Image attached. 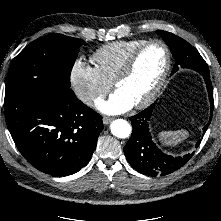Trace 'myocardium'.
<instances>
[{
  "instance_id": "f54148a6",
  "label": "myocardium",
  "mask_w": 221,
  "mask_h": 221,
  "mask_svg": "<svg viewBox=\"0 0 221 221\" xmlns=\"http://www.w3.org/2000/svg\"><path fill=\"white\" fill-rule=\"evenodd\" d=\"M154 44H158V45L162 46V48L164 49L165 55H166L165 66H164L163 72L161 74V77H160L158 83L156 84V86L154 87V89L152 90V92L146 98H144L142 101L138 102L137 104H134V106L136 108H144V107L149 106L158 98V96L162 92V90L166 84L167 78L169 76L171 66H172V55H171V51H170V48L168 47V45L160 39H151V40L145 41L143 44L138 46L128 56L124 65L122 66V68L120 69L118 74L113 79V86L115 88H118V85L131 75V73L134 69V66L136 64V61H137L138 57L140 56V54L147 47L154 45Z\"/></svg>"
}]
</instances>
